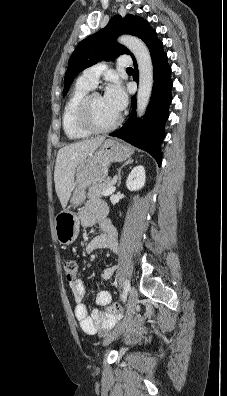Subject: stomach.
Segmentation results:
<instances>
[{"mask_svg":"<svg viewBox=\"0 0 227 396\" xmlns=\"http://www.w3.org/2000/svg\"><path fill=\"white\" fill-rule=\"evenodd\" d=\"M133 149L120 142L108 139L82 160L76 168L75 181L70 198L71 206H79L86 199V189L102 182L108 175L112 162H122L130 158ZM79 234V219L76 214L65 209L55 217V235L60 244H72Z\"/></svg>","mask_w":227,"mask_h":396,"instance_id":"0dacf381","label":"stomach"}]
</instances>
